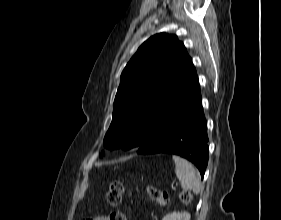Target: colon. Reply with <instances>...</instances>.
<instances>
[{
  "label": "colon",
  "instance_id": "1",
  "mask_svg": "<svg viewBox=\"0 0 281 220\" xmlns=\"http://www.w3.org/2000/svg\"><path fill=\"white\" fill-rule=\"evenodd\" d=\"M123 191V183L120 180L110 183L106 193V201L114 210L108 216V220H126L125 214L117 209L122 202ZM147 193L152 200L160 205H166L168 203V194L154 186H148ZM191 199L192 195L190 192H182L179 196V201L183 204H188Z\"/></svg>",
  "mask_w": 281,
  "mask_h": 220
}]
</instances>
